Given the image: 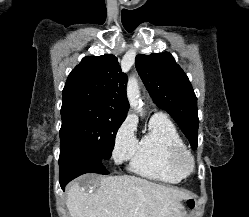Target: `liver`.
Masks as SVG:
<instances>
[{
  "label": "liver",
  "instance_id": "obj_1",
  "mask_svg": "<svg viewBox=\"0 0 249 217\" xmlns=\"http://www.w3.org/2000/svg\"><path fill=\"white\" fill-rule=\"evenodd\" d=\"M88 184L73 183L67 192L70 217H178L180 190L130 176H85Z\"/></svg>",
  "mask_w": 249,
  "mask_h": 217
}]
</instances>
